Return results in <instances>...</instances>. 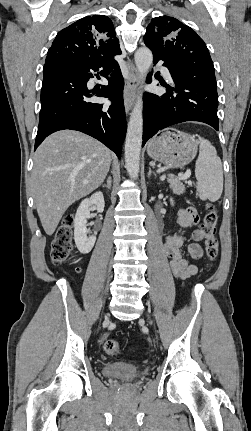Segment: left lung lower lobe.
<instances>
[{
  "mask_svg": "<svg viewBox=\"0 0 251 431\" xmlns=\"http://www.w3.org/2000/svg\"><path fill=\"white\" fill-rule=\"evenodd\" d=\"M164 61L172 76L173 86L162 96L144 95L142 146L158 131L185 121H200L218 131L217 84L213 71L183 68L175 60L154 54L153 63ZM151 79H149L150 81Z\"/></svg>",
  "mask_w": 251,
  "mask_h": 431,
  "instance_id": "obj_1",
  "label": "left lung lower lobe"
}]
</instances>
